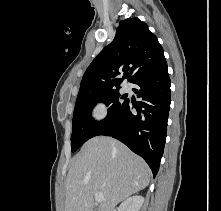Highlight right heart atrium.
<instances>
[{
	"mask_svg": "<svg viewBox=\"0 0 221 211\" xmlns=\"http://www.w3.org/2000/svg\"><path fill=\"white\" fill-rule=\"evenodd\" d=\"M107 114V106L103 101H96L90 110V117L94 122L102 121Z\"/></svg>",
	"mask_w": 221,
	"mask_h": 211,
	"instance_id": "1",
	"label": "right heart atrium"
}]
</instances>
